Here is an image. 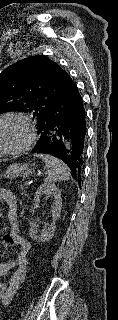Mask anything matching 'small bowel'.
Masks as SVG:
<instances>
[{"instance_id": "1", "label": "small bowel", "mask_w": 118, "mask_h": 320, "mask_svg": "<svg viewBox=\"0 0 118 320\" xmlns=\"http://www.w3.org/2000/svg\"><path fill=\"white\" fill-rule=\"evenodd\" d=\"M15 267L12 276L10 277L7 287L4 292H2V286L0 285V300L4 305H7L13 296L16 286L21 283L24 277V260L18 259L15 264L5 263L0 265V276L7 273L10 269Z\"/></svg>"}]
</instances>
